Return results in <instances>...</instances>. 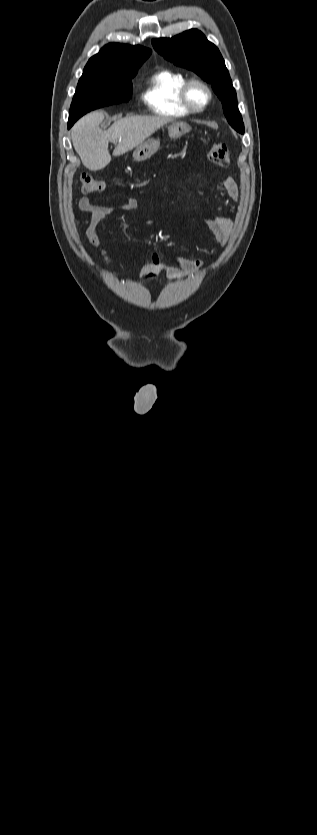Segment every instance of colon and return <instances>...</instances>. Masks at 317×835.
Instances as JSON below:
<instances>
[{
    "instance_id": "colon-1",
    "label": "colon",
    "mask_w": 317,
    "mask_h": 835,
    "mask_svg": "<svg viewBox=\"0 0 317 835\" xmlns=\"http://www.w3.org/2000/svg\"><path fill=\"white\" fill-rule=\"evenodd\" d=\"M208 156L211 162L221 167H226L230 163L229 149L226 144L221 142L211 144ZM80 180L84 193H99L105 188V184L101 179L90 174H83Z\"/></svg>"
}]
</instances>
